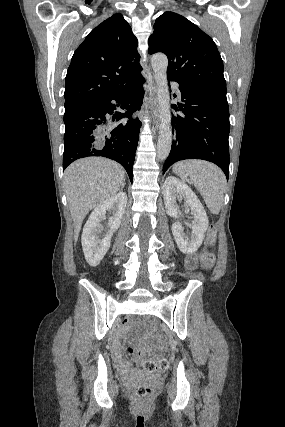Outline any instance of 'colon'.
<instances>
[{
    "instance_id": "1",
    "label": "colon",
    "mask_w": 285,
    "mask_h": 427,
    "mask_svg": "<svg viewBox=\"0 0 285 427\" xmlns=\"http://www.w3.org/2000/svg\"><path fill=\"white\" fill-rule=\"evenodd\" d=\"M216 243V232L213 228H210L207 232L206 240L204 247L198 255V260L205 268H212L215 264L214 255L208 250V248L213 247ZM127 353L131 354L132 349L128 348ZM144 369L148 373H156L164 371L168 368V360L164 357L147 359L141 362ZM154 386L152 384L138 385L134 389L135 396L140 402H149L152 400L154 395Z\"/></svg>"
}]
</instances>
